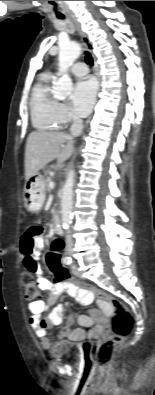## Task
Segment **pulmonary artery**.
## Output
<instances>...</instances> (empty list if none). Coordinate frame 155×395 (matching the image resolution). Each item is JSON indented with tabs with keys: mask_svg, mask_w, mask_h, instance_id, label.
Masks as SVG:
<instances>
[{
	"mask_svg": "<svg viewBox=\"0 0 155 395\" xmlns=\"http://www.w3.org/2000/svg\"><path fill=\"white\" fill-rule=\"evenodd\" d=\"M70 71L73 75H75L77 77H83V76L87 75L88 68L84 63L78 62V63H75L71 67Z\"/></svg>",
	"mask_w": 155,
	"mask_h": 395,
	"instance_id": "1",
	"label": "pulmonary artery"
}]
</instances>
